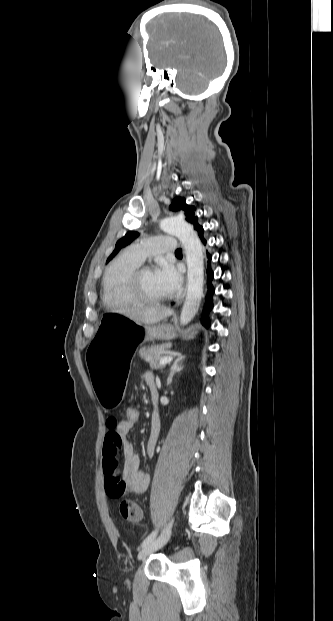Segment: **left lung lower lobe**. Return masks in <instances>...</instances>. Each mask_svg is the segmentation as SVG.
<instances>
[{
	"mask_svg": "<svg viewBox=\"0 0 333 621\" xmlns=\"http://www.w3.org/2000/svg\"><path fill=\"white\" fill-rule=\"evenodd\" d=\"M197 234L199 236V238L201 239L202 243L204 245H206L207 241L204 238V229L202 226H199L198 228H196ZM207 258H208V265H207V295H206V299H205V304H204V308L202 311V318H201V322L204 326H206L207 328L210 326V321H209V312L212 310L213 308V294H214V287L212 285V280H213V271L211 269V254L209 252H207Z\"/></svg>",
	"mask_w": 333,
	"mask_h": 621,
	"instance_id": "obj_1",
	"label": "left lung lower lobe"
}]
</instances>
